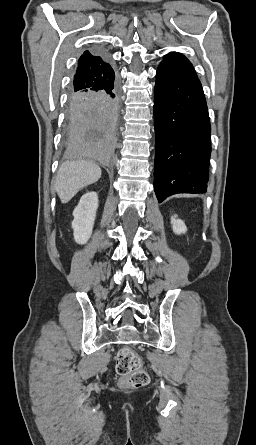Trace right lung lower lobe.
<instances>
[{"mask_svg":"<svg viewBox=\"0 0 256 445\" xmlns=\"http://www.w3.org/2000/svg\"><path fill=\"white\" fill-rule=\"evenodd\" d=\"M112 71L110 81L103 86L69 97L67 145L68 153L75 158L105 165L113 161L119 85Z\"/></svg>","mask_w":256,"mask_h":445,"instance_id":"98d812e1","label":"right lung lower lobe"}]
</instances>
